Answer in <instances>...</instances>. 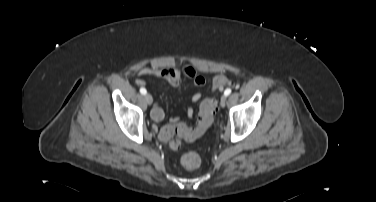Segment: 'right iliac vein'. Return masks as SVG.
I'll return each instance as SVG.
<instances>
[{"label":"right iliac vein","instance_id":"right-iliac-vein-1","mask_svg":"<svg viewBox=\"0 0 376 202\" xmlns=\"http://www.w3.org/2000/svg\"><path fill=\"white\" fill-rule=\"evenodd\" d=\"M144 99L148 105H151L153 102V98L150 94H145Z\"/></svg>","mask_w":376,"mask_h":202}]
</instances>
